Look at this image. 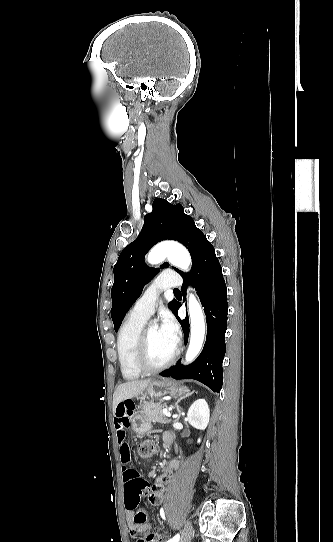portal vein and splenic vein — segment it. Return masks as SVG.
Listing matches in <instances>:
<instances>
[{
    "instance_id": "obj_1",
    "label": "portal vein and splenic vein",
    "mask_w": 333,
    "mask_h": 542,
    "mask_svg": "<svg viewBox=\"0 0 333 542\" xmlns=\"http://www.w3.org/2000/svg\"><path fill=\"white\" fill-rule=\"evenodd\" d=\"M162 412H163V414H165V416H168V418H170L171 412H169V410H167V408H162Z\"/></svg>"
}]
</instances>
